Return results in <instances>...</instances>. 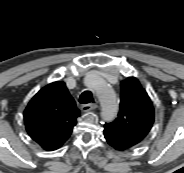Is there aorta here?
Wrapping results in <instances>:
<instances>
[{"mask_svg":"<svg viewBox=\"0 0 184 173\" xmlns=\"http://www.w3.org/2000/svg\"><path fill=\"white\" fill-rule=\"evenodd\" d=\"M88 85L93 89L101 104V117L106 122L113 121L118 113V99L114 90L98 75L90 74Z\"/></svg>","mask_w":184,"mask_h":173,"instance_id":"aorta-1","label":"aorta"}]
</instances>
